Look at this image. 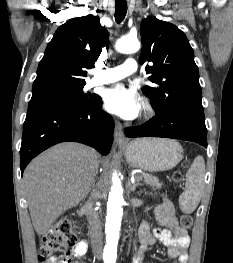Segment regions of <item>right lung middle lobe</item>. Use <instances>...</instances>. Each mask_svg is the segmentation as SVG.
I'll list each match as a JSON object with an SVG mask.
<instances>
[{
  "mask_svg": "<svg viewBox=\"0 0 233 263\" xmlns=\"http://www.w3.org/2000/svg\"><path fill=\"white\" fill-rule=\"evenodd\" d=\"M84 85L32 96L27 114L53 108H75L90 104L96 96L85 94Z\"/></svg>",
  "mask_w": 233,
  "mask_h": 263,
  "instance_id": "right-lung-middle-lobe-1",
  "label": "right lung middle lobe"
}]
</instances>
